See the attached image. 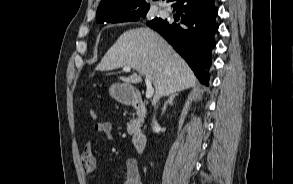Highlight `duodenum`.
I'll return each instance as SVG.
<instances>
[{"label": "duodenum", "mask_w": 293, "mask_h": 184, "mask_svg": "<svg viewBox=\"0 0 293 184\" xmlns=\"http://www.w3.org/2000/svg\"><path fill=\"white\" fill-rule=\"evenodd\" d=\"M130 103L134 106L139 116H144L147 113V107L144 99L138 93L133 94L130 97ZM147 143L146 134L139 130L136 131L132 136V144L136 152L141 153Z\"/></svg>", "instance_id": "1"}]
</instances>
